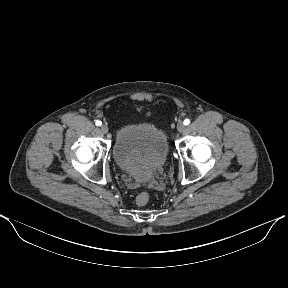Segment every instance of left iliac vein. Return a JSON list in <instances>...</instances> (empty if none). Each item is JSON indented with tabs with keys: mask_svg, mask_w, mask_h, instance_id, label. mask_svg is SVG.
Returning <instances> with one entry per match:
<instances>
[{
	"mask_svg": "<svg viewBox=\"0 0 288 288\" xmlns=\"http://www.w3.org/2000/svg\"><path fill=\"white\" fill-rule=\"evenodd\" d=\"M184 129H185L184 123L179 122V123L177 124V130H178L179 132H183Z\"/></svg>",
	"mask_w": 288,
	"mask_h": 288,
	"instance_id": "1",
	"label": "left iliac vein"
}]
</instances>
